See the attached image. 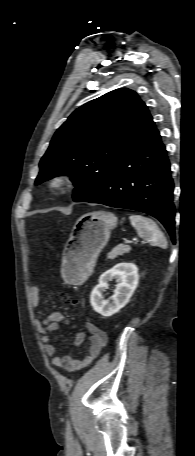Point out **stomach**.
I'll list each match as a JSON object with an SVG mask.
<instances>
[{"label": "stomach", "instance_id": "stomach-1", "mask_svg": "<svg viewBox=\"0 0 195 456\" xmlns=\"http://www.w3.org/2000/svg\"><path fill=\"white\" fill-rule=\"evenodd\" d=\"M117 221L106 211L86 213L76 221L63 251L62 271L69 283L80 284L89 277Z\"/></svg>", "mask_w": 195, "mask_h": 456}]
</instances>
